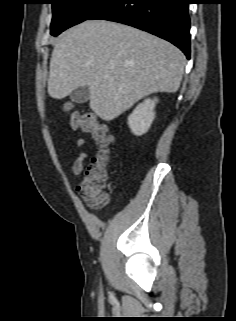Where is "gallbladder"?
<instances>
[{"mask_svg": "<svg viewBox=\"0 0 236 321\" xmlns=\"http://www.w3.org/2000/svg\"><path fill=\"white\" fill-rule=\"evenodd\" d=\"M89 98H90V91H89L88 86L76 88L70 94L71 102H67L64 104V110L68 111V110L72 109L73 108L72 103L82 104V103L87 102L89 100Z\"/></svg>", "mask_w": 236, "mask_h": 321, "instance_id": "obj_1", "label": "gallbladder"}]
</instances>
